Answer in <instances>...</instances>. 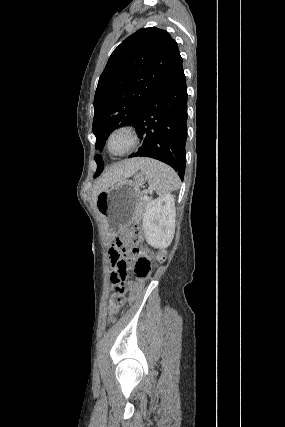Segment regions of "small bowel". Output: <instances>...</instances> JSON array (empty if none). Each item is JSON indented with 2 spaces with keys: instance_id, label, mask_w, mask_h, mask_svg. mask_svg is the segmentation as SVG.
Returning a JSON list of instances; mask_svg holds the SVG:
<instances>
[{
  "instance_id": "obj_1",
  "label": "small bowel",
  "mask_w": 285,
  "mask_h": 427,
  "mask_svg": "<svg viewBox=\"0 0 285 427\" xmlns=\"http://www.w3.org/2000/svg\"><path fill=\"white\" fill-rule=\"evenodd\" d=\"M110 254H111V265L113 266V272H112V274H118L119 270H118L116 264H117V262L119 260H125L126 259V255H123V254L117 255V254H115L114 248L110 249Z\"/></svg>"
}]
</instances>
